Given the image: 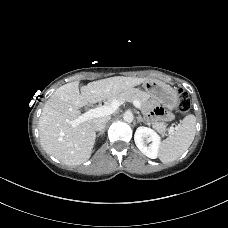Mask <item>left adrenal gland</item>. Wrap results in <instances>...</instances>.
<instances>
[{
  "label": "left adrenal gland",
  "instance_id": "left-adrenal-gland-1",
  "mask_svg": "<svg viewBox=\"0 0 228 228\" xmlns=\"http://www.w3.org/2000/svg\"><path fill=\"white\" fill-rule=\"evenodd\" d=\"M138 122H143L144 124H147L146 121L142 118V116L138 112V117H137Z\"/></svg>",
  "mask_w": 228,
  "mask_h": 228
}]
</instances>
